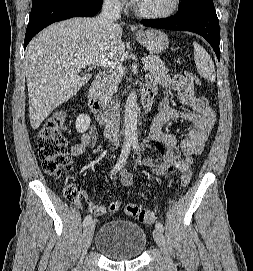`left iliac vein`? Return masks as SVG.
<instances>
[{"label": "left iliac vein", "instance_id": "left-iliac-vein-1", "mask_svg": "<svg viewBox=\"0 0 253 271\" xmlns=\"http://www.w3.org/2000/svg\"><path fill=\"white\" fill-rule=\"evenodd\" d=\"M153 237H154L155 242L157 243V245L159 246V248L163 254L166 266L170 269L173 268V262L171 260L170 255H169L167 244H166L163 233L160 230L155 229L153 231Z\"/></svg>", "mask_w": 253, "mask_h": 271}]
</instances>
